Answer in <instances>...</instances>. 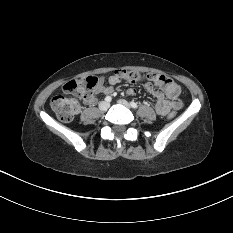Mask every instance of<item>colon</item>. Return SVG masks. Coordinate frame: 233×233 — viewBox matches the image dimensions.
<instances>
[{"label":"colon","instance_id":"colon-1","mask_svg":"<svg viewBox=\"0 0 233 233\" xmlns=\"http://www.w3.org/2000/svg\"><path fill=\"white\" fill-rule=\"evenodd\" d=\"M120 79L131 82L138 81H156V74H141L136 71L118 70L115 73ZM98 78L87 76L79 80H71L63 85V90L67 94H72L73 97L57 95L51 101V108L57 117L64 122L71 121L80 110V99L92 95L98 85ZM175 112L169 114V118H174Z\"/></svg>","mask_w":233,"mask_h":233}]
</instances>
